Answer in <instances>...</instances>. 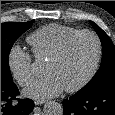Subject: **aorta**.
Returning a JSON list of instances; mask_svg holds the SVG:
<instances>
[{"label": "aorta", "mask_w": 115, "mask_h": 115, "mask_svg": "<svg viewBox=\"0 0 115 115\" xmlns=\"http://www.w3.org/2000/svg\"><path fill=\"white\" fill-rule=\"evenodd\" d=\"M45 115H63V107L55 101H50L44 106Z\"/></svg>", "instance_id": "1"}]
</instances>
